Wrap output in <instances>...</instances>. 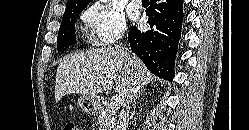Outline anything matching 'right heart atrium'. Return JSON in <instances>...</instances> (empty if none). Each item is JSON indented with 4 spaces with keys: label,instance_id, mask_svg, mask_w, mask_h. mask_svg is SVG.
<instances>
[{
    "label": "right heart atrium",
    "instance_id": "right-heart-atrium-1",
    "mask_svg": "<svg viewBox=\"0 0 249 130\" xmlns=\"http://www.w3.org/2000/svg\"><path fill=\"white\" fill-rule=\"evenodd\" d=\"M82 19L89 27L91 40L100 46L117 42L127 30L123 13L108 3H92L82 13Z\"/></svg>",
    "mask_w": 249,
    "mask_h": 130
}]
</instances>
